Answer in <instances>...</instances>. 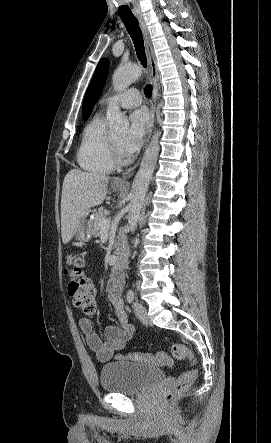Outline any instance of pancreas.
Wrapping results in <instances>:
<instances>
[{"mask_svg": "<svg viewBox=\"0 0 271 443\" xmlns=\"http://www.w3.org/2000/svg\"><path fill=\"white\" fill-rule=\"evenodd\" d=\"M109 216V212L107 210H104V208H98V212L95 214L94 220H92L93 225V235L97 237L99 235L101 229H104L102 225H100V220H104V218H107Z\"/></svg>", "mask_w": 271, "mask_h": 443, "instance_id": "cf45deb5", "label": "pancreas"}]
</instances>
